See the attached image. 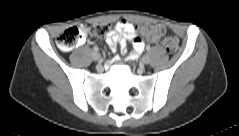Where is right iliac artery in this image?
<instances>
[{
  "label": "right iliac artery",
  "instance_id": "obj_1",
  "mask_svg": "<svg viewBox=\"0 0 239 136\" xmlns=\"http://www.w3.org/2000/svg\"><path fill=\"white\" fill-rule=\"evenodd\" d=\"M93 50H94L95 52H98L99 48L95 46V47L93 48Z\"/></svg>",
  "mask_w": 239,
  "mask_h": 136
}]
</instances>
